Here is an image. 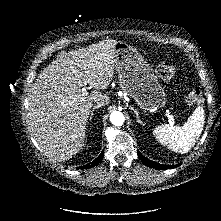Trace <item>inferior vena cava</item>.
Returning a JSON list of instances; mask_svg holds the SVG:
<instances>
[{
  "label": "inferior vena cava",
  "mask_w": 221,
  "mask_h": 221,
  "mask_svg": "<svg viewBox=\"0 0 221 221\" xmlns=\"http://www.w3.org/2000/svg\"><path fill=\"white\" fill-rule=\"evenodd\" d=\"M94 101L97 103V105H107L109 104V97L107 95H103V94H98L95 96Z\"/></svg>",
  "instance_id": "1"
}]
</instances>
